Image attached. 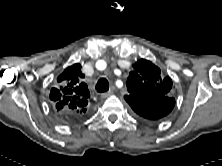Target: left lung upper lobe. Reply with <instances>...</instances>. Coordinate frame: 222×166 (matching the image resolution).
I'll return each instance as SVG.
<instances>
[{"instance_id":"5c2ea615","label":"left lung upper lobe","mask_w":222,"mask_h":166,"mask_svg":"<svg viewBox=\"0 0 222 166\" xmlns=\"http://www.w3.org/2000/svg\"><path fill=\"white\" fill-rule=\"evenodd\" d=\"M133 67L126 82L129 94L124 98L139 117L148 118L146 114L163 107V98L171 97L172 80L164 78L161 70L146 59H140Z\"/></svg>"}]
</instances>
